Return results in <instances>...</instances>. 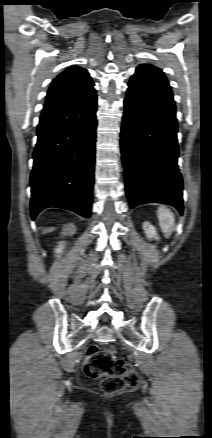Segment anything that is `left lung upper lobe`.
Segmentation results:
<instances>
[{"label": "left lung upper lobe", "mask_w": 212, "mask_h": 438, "mask_svg": "<svg viewBox=\"0 0 212 438\" xmlns=\"http://www.w3.org/2000/svg\"><path fill=\"white\" fill-rule=\"evenodd\" d=\"M131 79L142 80L150 84L164 87L171 91L169 82L165 78L162 70L150 64L139 65Z\"/></svg>", "instance_id": "5c2ea615"}]
</instances>
